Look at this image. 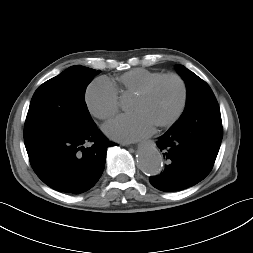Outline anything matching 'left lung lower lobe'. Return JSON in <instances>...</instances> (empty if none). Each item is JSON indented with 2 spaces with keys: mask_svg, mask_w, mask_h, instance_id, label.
<instances>
[{
  "mask_svg": "<svg viewBox=\"0 0 253 253\" xmlns=\"http://www.w3.org/2000/svg\"><path fill=\"white\" fill-rule=\"evenodd\" d=\"M222 135L221 122L203 120L172 125L157 141L167 165L160 175L150 177V183L166 192L194 186L210 173Z\"/></svg>",
  "mask_w": 253,
  "mask_h": 253,
  "instance_id": "left-lung-lower-lobe-1",
  "label": "left lung lower lobe"
}]
</instances>
